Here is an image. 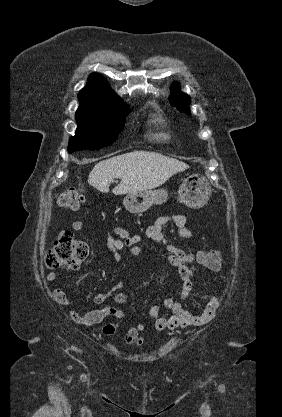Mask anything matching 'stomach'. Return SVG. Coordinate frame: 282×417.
<instances>
[{"instance_id": "0dacf381", "label": "stomach", "mask_w": 282, "mask_h": 417, "mask_svg": "<svg viewBox=\"0 0 282 417\" xmlns=\"http://www.w3.org/2000/svg\"><path fill=\"white\" fill-rule=\"evenodd\" d=\"M179 202H184L190 209H201L210 198L211 186L200 174H191L184 178L178 192ZM168 198V190L157 188V190H137L128 192L123 198V204L129 213H145L152 204H163Z\"/></svg>"}]
</instances>
